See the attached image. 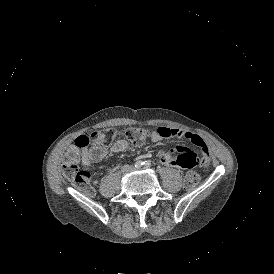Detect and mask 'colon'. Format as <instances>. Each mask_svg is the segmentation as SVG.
Listing matches in <instances>:
<instances>
[{
    "instance_id": "colon-1",
    "label": "colon",
    "mask_w": 274,
    "mask_h": 274,
    "mask_svg": "<svg viewBox=\"0 0 274 274\" xmlns=\"http://www.w3.org/2000/svg\"><path fill=\"white\" fill-rule=\"evenodd\" d=\"M94 136L103 139L105 145H110L113 140L119 137L129 138L134 144H140L148 136V131L142 128H129L122 133L121 129L105 128L93 134ZM75 146H70L65 160L62 165V171L72 180L75 184L84 187H90L89 181L92 178L91 172L88 169H81L78 165L77 149L79 147L88 146V137L86 133L74 134ZM202 180V175L197 172L188 173L185 177V185L189 188H194Z\"/></svg>"
}]
</instances>
